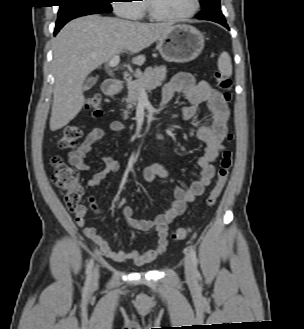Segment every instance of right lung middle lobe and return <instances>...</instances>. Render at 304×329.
Segmentation results:
<instances>
[{
  "label": "right lung middle lobe",
  "mask_w": 304,
  "mask_h": 329,
  "mask_svg": "<svg viewBox=\"0 0 304 329\" xmlns=\"http://www.w3.org/2000/svg\"><path fill=\"white\" fill-rule=\"evenodd\" d=\"M60 8L56 26L85 15L109 13L112 11L111 0H58Z\"/></svg>",
  "instance_id": "dd1d6c3e"
}]
</instances>
